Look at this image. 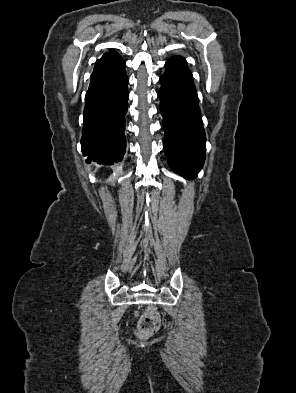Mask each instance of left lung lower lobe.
Segmentation results:
<instances>
[{
	"label": "left lung lower lobe",
	"mask_w": 296,
	"mask_h": 393,
	"mask_svg": "<svg viewBox=\"0 0 296 393\" xmlns=\"http://www.w3.org/2000/svg\"><path fill=\"white\" fill-rule=\"evenodd\" d=\"M165 66L158 96L168 163L184 177L195 176L204 164L206 137L193 76L183 57H172Z\"/></svg>",
	"instance_id": "obj_1"
}]
</instances>
